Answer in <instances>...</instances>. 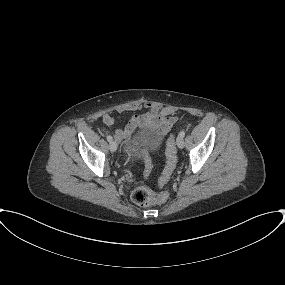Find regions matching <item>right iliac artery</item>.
I'll return each instance as SVG.
<instances>
[{"label":"right iliac artery","instance_id":"obj_1","mask_svg":"<svg viewBox=\"0 0 285 285\" xmlns=\"http://www.w3.org/2000/svg\"><path fill=\"white\" fill-rule=\"evenodd\" d=\"M106 139H107L108 142H111V141L113 140L112 136H110V135H108V136L106 137Z\"/></svg>","mask_w":285,"mask_h":285}]
</instances>
